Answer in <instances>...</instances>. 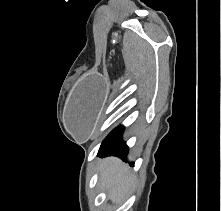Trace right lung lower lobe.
Instances as JSON below:
<instances>
[{"label": "right lung lower lobe", "mask_w": 221, "mask_h": 211, "mask_svg": "<svg viewBox=\"0 0 221 211\" xmlns=\"http://www.w3.org/2000/svg\"><path fill=\"white\" fill-rule=\"evenodd\" d=\"M123 131V126L115 128L102 142L98 154L100 156H118L125 160L128 154V147L121 139ZM131 165L133 166V163Z\"/></svg>", "instance_id": "1"}]
</instances>
